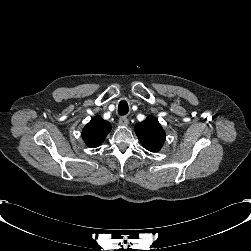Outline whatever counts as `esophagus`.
Returning a JSON list of instances; mask_svg holds the SVG:
<instances>
[{"instance_id":"1","label":"esophagus","mask_w":251,"mask_h":251,"mask_svg":"<svg viewBox=\"0 0 251 251\" xmlns=\"http://www.w3.org/2000/svg\"><path fill=\"white\" fill-rule=\"evenodd\" d=\"M119 124L121 126H127L129 124V120L125 116H122L119 119Z\"/></svg>"}]
</instances>
